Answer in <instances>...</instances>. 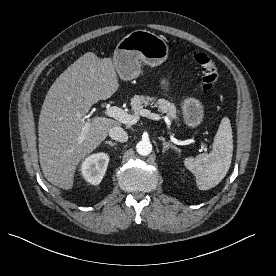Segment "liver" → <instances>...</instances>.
Here are the masks:
<instances>
[{
	"label": "liver",
	"mask_w": 276,
	"mask_h": 276,
	"mask_svg": "<svg viewBox=\"0 0 276 276\" xmlns=\"http://www.w3.org/2000/svg\"><path fill=\"white\" fill-rule=\"evenodd\" d=\"M119 88L114 63L87 52L52 84L39 116V161L45 178L62 189H71L79 163L120 125L96 116L85 120L91 106L110 98ZM88 130L81 141L83 127Z\"/></svg>",
	"instance_id": "obj_1"
}]
</instances>
